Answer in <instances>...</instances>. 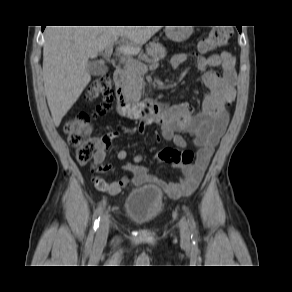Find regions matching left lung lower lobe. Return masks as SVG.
<instances>
[{"mask_svg":"<svg viewBox=\"0 0 292 292\" xmlns=\"http://www.w3.org/2000/svg\"><path fill=\"white\" fill-rule=\"evenodd\" d=\"M239 32H241V27H238Z\"/></svg>","mask_w":292,"mask_h":292,"instance_id":"obj_1","label":"left lung lower lobe"}]
</instances>
